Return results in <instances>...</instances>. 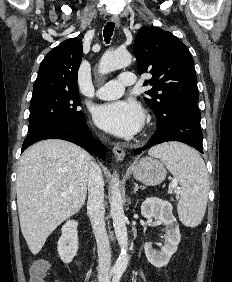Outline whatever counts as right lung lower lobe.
<instances>
[{"mask_svg": "<svg viewBox=\"0 0 232 282\" xmlns=\"http://www.w3.org/2000/svg\"><path fill=\"white\" fill-rule=\"evenodd\" d=\"M45 139H62L84 146L99 158L105 159L106 147L93 139L91 131L82 123L58 122L37 131L29 132L22 145V152L30 145Z\"/></svg>", "mask_w": 232, "mask_h": 282, "instance_id": "right-lung-lower-lobe-1", "label": "right lung lower lobe"}]
</instances>
